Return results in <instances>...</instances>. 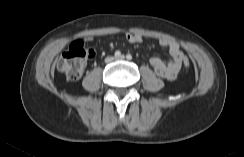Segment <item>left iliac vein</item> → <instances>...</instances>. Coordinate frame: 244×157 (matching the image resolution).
I'll use <instances>...</instances> for the list:
<instances>
[{"label": "left iliac vein", "mask_w": 244, "mask_h": 157, "mask_svg": "<svg viewBox=\"0 0 244 157\" xmlns=\"http://www.w3.org/2000/svg\"><path fill=\"white\" fill-rule=\"evenodd\" d=\"M117 60H125V56L124 55H121L119 57L116 58Z\"/></svg>", "instance_id": "obj_1"}]
</instances>
